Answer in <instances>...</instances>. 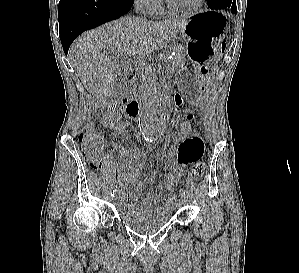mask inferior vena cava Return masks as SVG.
<instances>
[{
  "label": "inferior vena cava",
  "instance_id": "inferior-vena-cava-1",
  "mask_svg": "<svg viewBox=\"0 0 299 273\" xmlns=\"http://www.w3.org/2000/svg\"><path fill=\"white\" fill-rule=\"evenodd\" d=\"M138 10H139V7L137 6V8H136V12H138ZM144 20H146V19H144Z\"/></svg>",
  "mask_w": 299,
  "mask_h": 273
}]
</instances>
